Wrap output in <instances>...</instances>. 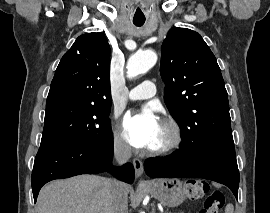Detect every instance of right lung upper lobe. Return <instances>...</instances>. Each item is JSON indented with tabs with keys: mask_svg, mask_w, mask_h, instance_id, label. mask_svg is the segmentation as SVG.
I'll return each mask as SVG.
<instances>
[{
	"mask_svg": "<svg viewBox=\"0 0 270 213\" xmlns=\"http://www.w3.org/2000/svg\"><path fill=\"white\" fill-rule=\"evenodd\" d=\"M110 46L103 33L79 36L62 57L46 107L72 103L110 105Z\"/></svg>",
	"mask_w": 270,
	"mask_h": 213,
	"instance_id": "right-lung-upper-lobe-1",
	"label": "right lung upper lobe"
}]
</instances>
